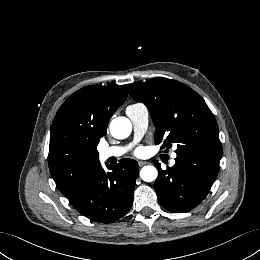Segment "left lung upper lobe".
Listing matches in <instances>:
<instances>
[{"mask_svg":"<svg viewBox=\"0 0 260 260\" xmlns=\"http://www.w3.org/2000/svg\"><path fill=\"white\" fill-rule=\"evenodd\" d=\"M130 95L144 103L153 119L155 143L177 144L183 152L222 155L215 117L203 98L183 83L165 78L132 83Z\"/></svg>","mask_w":260,"mask_h":260,"instance_id":"obj_1","label":"left lung upper lobe"}]
</instances>
